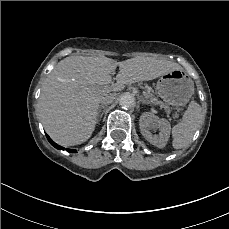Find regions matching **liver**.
Returning <instances> with one entry per match:
<instances>
[{"label": "liver", "instance_id": "1", "mask_svg": "<svg viewBox=\"0 0 229 229\" xmlns=\"http://www.w3.org/2000/svg\"><path fill=\"white\" fill-rule=\"evenodd\" d=\"M116 84H111V75ZM182 69L176 62L152 57L117 61L105 56H68L43 83L36 110L54 142L69 147L89 140L96 128L99 103H112L126 86ZM112 91V93H110Z\"/></svg>", "mask_w": 229, "mask_h": 229}]
</instances>
